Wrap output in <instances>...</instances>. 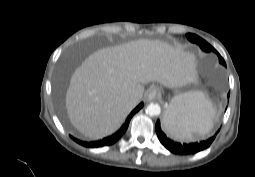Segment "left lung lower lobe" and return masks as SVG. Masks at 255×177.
<instances>
[{
    "label": "left lung lower lobe",
    "instance_id": "0a47b994",
    "mask_svg": "<svg viewBox=\"0 0 255 177\" xmlns=\"http://www.w3.org/2000/svg\"><path fill=\"white\" fill-rule=\"evenodd\" d=\"M230 93H228V99H229ZM156 133L158 136V139L160 142L163 144L165 148H167L171 153L173 154H178V155H190V154H195L197 152H200L206 148H208L213 140L215 139L217 133L219 130L216 132V134L209 138L208 140L201 141V142H195V143H189V144H182L176 141L171 140L168 136H166L163 131L161 130L160 127V122L159 120L157 121L155 125Z\"/></svg>",
    "mask_w": 255,
    "mask_h": 177
}]
</instances>
